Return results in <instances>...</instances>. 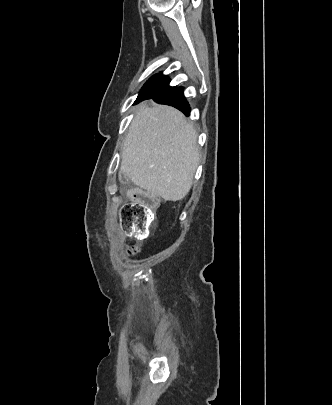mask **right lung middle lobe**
<instances>
[{
  "label": "right lung middle lobe",
  "mask_w": 332,
  "mask_h": 405,
  "mask_svg": "<svg viewBox=\"0 0 332 405\" xmlns=\"http://www.w3.org/2000/svg\"><path fill=\"white\" fill-rule=\"evenodd\" d=\"M169 83L170 78L165 75L156 74L145 83L140 93H160L174 88L170 87Z\"/></svg>",
  "instance_id": "1"
}]
</instances>
